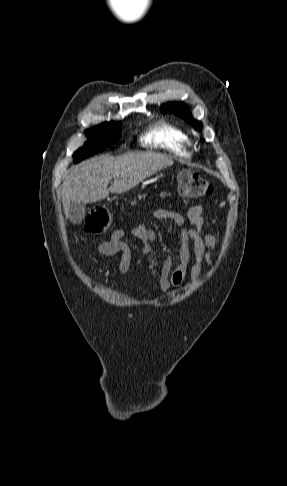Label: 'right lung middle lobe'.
<instances>
[{"label":"right lung middle lobe","instance_id":"dd1d6c3e","mask_svg":"<svg viewBox=\"0 0 287 486\" xmlns=\"http://www.w3.org/2000/svg\"><path fill=\"white\" fill-rule=\"evenodd\" d=\"M121 123L105 122L93 129L86 130L85 133L89 140L85 145L79 148L73 155L74 162L78 163L81 160L96 154L105 149L110 143H116L120 138Z\"/></svg>","mask_w":287,"mask_h":486}]
</instances>
